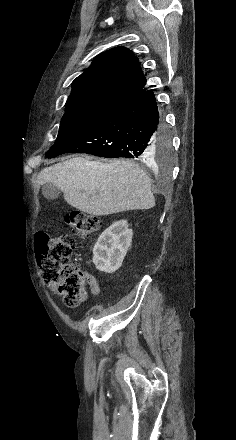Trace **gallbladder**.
<instances>
[{"label": "gallbladder", "instance_id": "bac80fb5", "mask_svg": "<svg viewBox=\"0 0 236 440\" xmlns=\"http://www.w3.org/2000/svg\"><path fill=\"white\" fill-rule=\"evenodd\" d=\"M60 189L53 183H46L42 186V194L48 200H55L60 196Z\"/></svg>", "mask_w": 236, "mask_h": 440}]
</instances>
